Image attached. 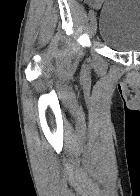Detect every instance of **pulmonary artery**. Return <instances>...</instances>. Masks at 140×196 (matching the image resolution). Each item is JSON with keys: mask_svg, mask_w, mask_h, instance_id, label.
<instances>
[{"mask_svg": "<svg viewBox=\"0 0 140 196\" xmlns=\"http://www.w3.org/2000/svg\"><path fill=\"white\" fill-rule=\"evenodd\" d=\"M55 192H70V191H55Z\"/></svg>", "mask_w": 140, "mask_h": 196, "instance_id": "pulmonary-artery-1", "label": "pulmonary artery"}]
</instances>
